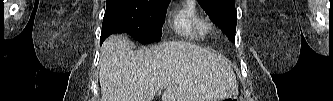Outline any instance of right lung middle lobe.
<instances>
[{
  "instance_id": "obj_1",
  "label": "right lung middle lobe",
  "mask_w": 333,
  "mask_h": 101,
  "mask_svg": "<svg viewBox=\"0 0 333 101\" xmlns=\"http://www.w3.org/2000/svg\"><path fill=\"white\" fill-rule=\"evenodd\" d=\"M170 0H106L105 15L117 23L113 33L126 32L142 44L159 41Z\"/></svg>"
}]
</instances>
